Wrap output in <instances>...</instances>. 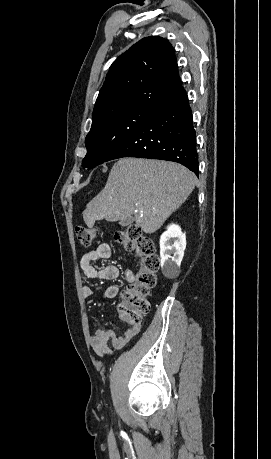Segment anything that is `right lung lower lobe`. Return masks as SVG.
I'll list each match as a JSON object with an SVG mask.
<instances>
[{
    "mask_svg": "<svg viewBox=\"0 0 271 459\" xmlns=\"http://www.w3.org/2000/svg\"><path fill=\"white\" fill-rule=\"evenodd\" d=\"M192 111L183 90L123 141L105 162L138 157L178 162L197 176L198 153Z\"/></svg>",
    "mask_w": 271,
    "mask_h": 459,
    "instance_id": "1",
    "label": "right lung lower lobe"
}]
</instances>
